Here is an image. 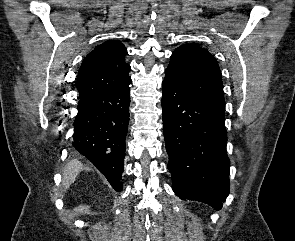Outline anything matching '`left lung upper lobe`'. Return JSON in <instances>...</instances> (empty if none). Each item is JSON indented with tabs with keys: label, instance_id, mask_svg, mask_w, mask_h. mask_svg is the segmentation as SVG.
<instances>
[{
	"label": "left lung upper lobe",
	"instance_id": "obj_1",
	"mask_svg": "<svg viewBox=\"0 0 295 241\" xmlns=\"http://www.w3.org/2000/svg\"><path fill=\"white\" fill-rule=\"evenodd\" d=\"M189 92L225 107L221 71L214 56L195 44L178 47L165 70Z\"/></svg>",
	"mask_w": 295,
	"mask_h": 241
}]
</instances>
